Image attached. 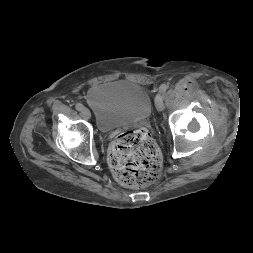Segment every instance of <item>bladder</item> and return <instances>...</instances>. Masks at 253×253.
I'll use <instances>...</instances> for the list:
<instances>
[{
  "label": "bladder",
  "mask_w": 253,
  "mask_h": 253,
  "mask_svg": "<svg viewBox=\"0 0 253 253\" xmlns=\"http://www.w3.org/2000/svg\"><path fill=\"white\" fill-rule=\"evenodd\" d=\"M87 102L92 108L98 127L109 130L148 118L152 99L140 84L119 80L90 89Z\"/></svg>",
  "instance_id": "obj_1"
}]
</instances>
